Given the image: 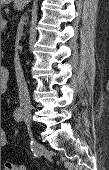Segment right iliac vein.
<instances>
[{"mask_svg":"<svg viewBox=\"0 0 109 170\" xmlns=\"http://www.w3.org/2000/svg\"><path fill=\"white\" fill-rule=\"evenodd\" d=\"M23 117L26 123H28L30 127H33L32 115L29 110L27 109L23 110Z\"/></svg>","mask_w":109,"mask_h":170,"instance_id":"63e3f726","label":"right iliac vein"}]
</instances>
